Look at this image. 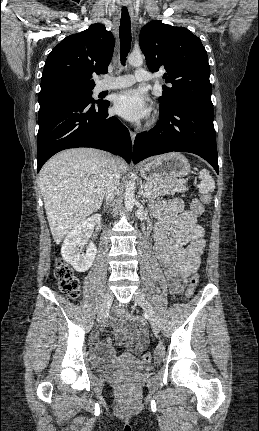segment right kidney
<instances>
[{
  "label": "right kidney",
  "mask_w": 259,
  "mask_h": 431,
  "mask_svg": "<svg viewBox=\"0 0 259 431\" xmlns=\"http://www.w3.org/2000/svg\"><path fill=\"white\" fill-rule=\"evenodd\" d=\"M91 221L100 223V215L96 214L86 220H82L77 223L67 234L61 248V254L63 259L69 264H71L73 268L78 272L87 271L92 266L97 254L96 246L92 242H90L87 246V250L85 253H83L82 249H80L81 245L87 243L85 232L87 226L90 224Z\"/></svg>",
  "instance_id": "obj_1"
}]
</instances>
